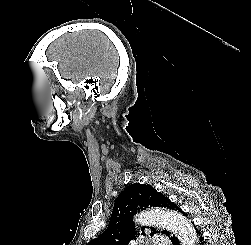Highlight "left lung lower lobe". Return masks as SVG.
I'll return each instance as SVG.
<instances>
[{"instance_id": "1", "label": "left lung lower lobe", "mask_w": 251, "mask_h": 245, "mask_svg": "<svg viewBox=\"0 0 251 245\" xmlns=\"http://www.w3.org/2000/svg\"><path fill=\"white\" fill-rule=\"evenodd\" d=\"M178 212H181V213H183V215L187 216L184 212H182L181 209H179ZM195 231H196V235H197V242H196L197 245H204V239H203L200 231L198 229H195ZM166 236L169 237V239L173 245H179V241H178L177 237H175V235H173L172 233L169 232Z\"/></svg>"}]
</instances>
